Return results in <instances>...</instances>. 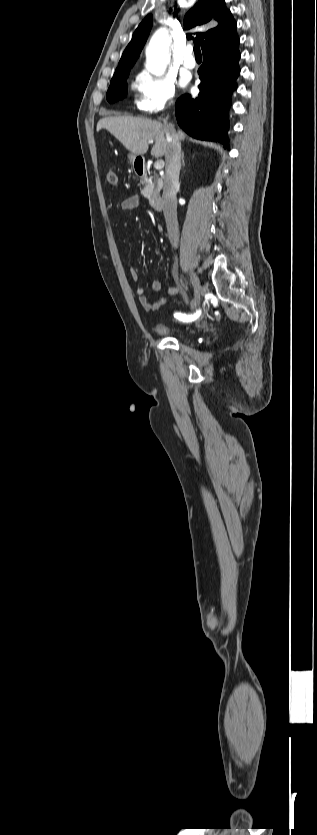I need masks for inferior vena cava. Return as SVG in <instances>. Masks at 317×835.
I'll return each mask as SVG.
<instances>
[{
	"instance_id": "602c4592",
	"label": "inferior vena cava",
	"mask_w": 317,
	"mask_h": 835,
	"mask_svg": "<svg viewBox=\"0 0 317 835\" xmlns=\"http://www.w3.org/2000/svg\"><path fill=\"white\" fill-rule=\"evenodd\" d=\"M166 125L167 151L165 153V178L163 188L164 217L169 240L177 248L179 242V228L177 221V199L179 189V173L181 169V143L173 127Z\"/></svg>"
}]
</instances>
